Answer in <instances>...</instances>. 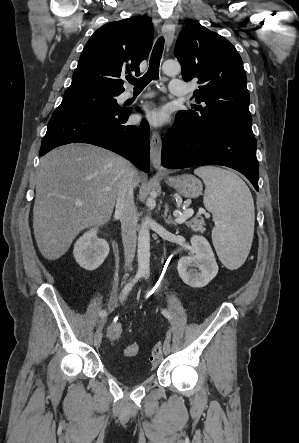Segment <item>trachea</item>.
<instances>
[{
  "mask_svg": "<svg viewBox=\"0 0 299 443\" xmlns=\"http://www.w3.org/2000/svg\"><path fill=\"white\" fill-rule=\"evenodd\" d=\"M164 50V38L160 37L151 54L148 71L139 79L134 77L128 78V82L134 85L135 91H142L152 80L159 78V65Z\"/></svg>",
  "mask_w": 299,
  "mask_h": 443,
  "instance_id": "3493384b",
  "label": "trachea"
}]
</instances>
